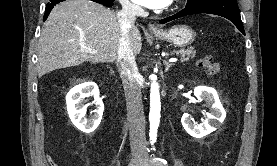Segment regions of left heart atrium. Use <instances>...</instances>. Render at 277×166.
<instances>
[{
  "label": "left heart atrium",
  "mask_w": 277,
  "mask_h": 166,
  "mask_svg": "<svg viewBox=\"0 0 277 166\" xmlns=\"http://www.w3.org/2000/svg\"><path fill=\"white\" fill-rule=\"evenodd\" d=\"M134 2L147 8L160 9L167 7L172 0H134Z\"/></svg>",
  "instance_id": "39dd6f15"
}]
</instances>
